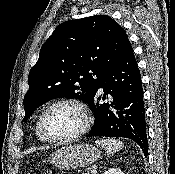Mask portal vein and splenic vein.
I'll use <instances>...</instances> for the list:
<instances>
[{"label": "portal vein and splenic vein", "instance_id": "1", "mask_svg": "<svg viewBox=\"0 0 175 174\" xmlns=\"http://www.w3.org/2000/svg\"><path fill=\"white\" fill-rule=\"evenodd\" d=\"M91 174H96V169H92Z\"/></svg>", "mask_w": 175, "mask_h": 174}]
</instances>
